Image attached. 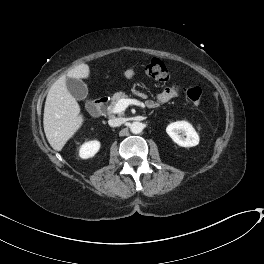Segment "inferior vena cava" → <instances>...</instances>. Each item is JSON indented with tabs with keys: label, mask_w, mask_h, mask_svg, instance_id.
<instances>
[{
	"label": "inferior vena cava",
	"mask_w": 264,
	"mask_h": 264,
	"mask_svg": "<svg viewBox=\"0 0 264 264\" xmlns=\"http://www.w3.org/2000/svg\"><path fill=\"white\" fill-rule=\"evenodd\" d=\"M125 122L124 118H114V119H110L108 121L109 125L112 127H117L122 125Z\"/></svg>",
	"instance_id": "inferior-vena-cava-1"
}]
</instances>
